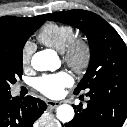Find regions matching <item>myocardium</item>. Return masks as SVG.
Wrapping results in <instances>:
<instances>
[{
    "instance_id": "myocardium-1",
    "label": "myocardium",
    "mask_w": 127,
    "mask_h": 127,
    "mask_svg": "<svg viewBox=\"0 0 127 127\" xmlns=\"http://www.w3.org/2000/svg\"><path fill=\"white\" fill-rule=\"evenodd\" d=\"M92 45L84 35H75L62 52L64 63L76 73L86 72L92 61Z\"/></svg>"
}]
</instances>
